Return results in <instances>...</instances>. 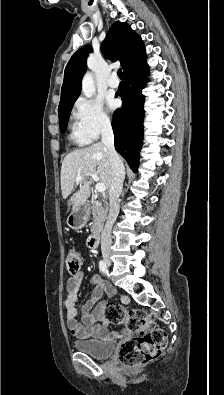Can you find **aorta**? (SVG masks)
<instances>
[{
	"label": "aorta",
	"instance_id": "1",
	"mask_svg": "<svg viewBox=\"0 0 224 395\" xmlns=\"http://www.w3.org/2000/svg\"><path fill=\"white\" fill-rule=\"evenodd\" d=\"M95 91L93 74L87 72L82 80V93L85 97L91 98L95 94Z\"/></svg>",
	"mask_w": 224,
	"mask_h": 395
}]
</instances>
